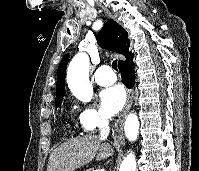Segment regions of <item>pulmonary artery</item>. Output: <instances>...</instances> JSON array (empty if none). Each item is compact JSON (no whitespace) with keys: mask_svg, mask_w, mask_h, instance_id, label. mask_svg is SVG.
Masks as SVG:
<instances>
[{"mask_svg":"<svg viewBox=\"0 0 199 171\" xmlns=\"http://www.w3.org/2000/svg\"><path fill=\"white\" fill-rule=\"evenodd\" d=\"M94 79L98 85L108 86L116 81V75L109 66L103 65L96 70Z\"/></svg>","mask_w":199,"mask_h":171,"instance_id":"pulmonary-artery-1","label":"pulmonary artery"}]
</instances>
